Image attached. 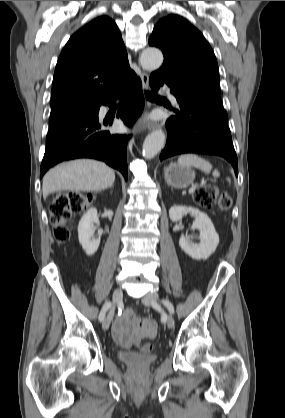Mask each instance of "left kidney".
Instances as JSON below:
<instances>
[{
    "label": "left kidney",
    "instance_id": "obj_1",
    "mask_svg": "<svg viewBox=\"0 0 285 418\" xmlns=\"http://www.w3.org/2000/svg\"><path fill=\"white\" fill-rule=\"evenodd\" d=\"M188 213L195 217L191 228L200 230V243H192L187 236L181 235L179 246L191 258L206 260L215 252L219 235L208 215L199 209L182 205H174L169 209V217L173 222L180 221Z\"/></svg>",
    "mask_w": 285,
    "mask_h": 418
}]
</instances>
